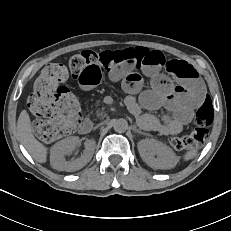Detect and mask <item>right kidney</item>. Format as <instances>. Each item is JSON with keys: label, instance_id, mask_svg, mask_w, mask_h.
<instances>
[{"label": "right kidney", "instance_id": "1", "mask_svg": "<svg viewBox=\"0 0 231 231\" xmlns=\"http://www.w3.org/2000/svg\"><path fill=\"white\" fill-rule=\"evenodd\" d=\"M79 138L72 136L54 144L50 150L51 166L59 171L73 172L83 168L92 158L96 142L93 139L86 140L85 150L81 156L71 161H66L65 156L71 153L78 144Z\"/></svg>", "mask_w": 231, "mask_h": 231}]
</instances>
